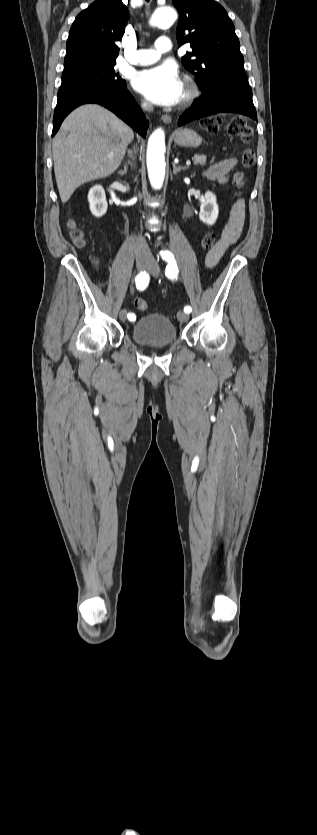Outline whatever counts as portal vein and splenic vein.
Segmentation results:
<instances>
[{"instance_id": "1", "label": "portal vein and splenic vein", "mask_w": 317, "mask_h": 835, "mask_svg": "<svg viewBox=\"0 0 317 835\" xmlns=\"http://www.w3.org/2000/svg\"><path fill=\"white\" fill-rule=\"evenodd\" d=\"M109 156L111 157L112 155H109ZM190 163H191V162H190V160H188V161L186 162V164H187V165H189Z\"/></svg>"}]
</instances>
